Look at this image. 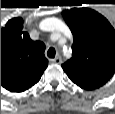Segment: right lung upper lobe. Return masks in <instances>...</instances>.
Wrapping results in <instances>:
<instances>
[{"mask_svg": "<svg viewBox=\"0 0 115 114\" xmlns=\"http://www.w3.org/2000/svg\"><path fill=\"white\" fill-rule=\"evenodd\" d=\"M22 18H13L1 28V86L23 92L35 85L48 65L45 45L22 30Z\"/></svg>", "mask_w": 115, "mask_h": 114, "instance_id": "1", "label": "right lung upper lobe"}]
</instances>
